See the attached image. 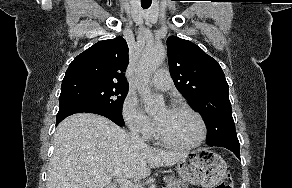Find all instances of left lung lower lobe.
Listing matches in <instances>:
<instances>
[{
    "label": "left lung lower lobe",
    "mask_w": 292,
    "mask_h": 188,
    "mask_svg": "<svg viewBox=\"0 0 292 188\" xmlns=\"http://www.w3.org/2000/svg\"><path fill=\"white\" fill-rule=\"evenodd\" d=\"M207 145L227 148L230 151H232L240 159V152H239L240 144H239L236 133H230L222 137H219L216 140L207 143Z\"/></svg>",
    "instance_id": "left-lung-lower-lobe-1"
}]
</instances>
